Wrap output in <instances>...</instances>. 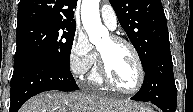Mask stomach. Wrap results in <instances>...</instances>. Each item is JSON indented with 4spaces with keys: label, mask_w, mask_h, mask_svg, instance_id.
I'll return each instance as SVG.
<instances>
[{
    "label": "stomach",
    "mask_w": 193,
    "mask_h": 112,
    "mask_svg": "<svg viewBox=\"0 0 193 112\" xmlns=\"http://www.w3.org/2000/svg\"><path fill=\"white\" fill-rule=\"evenodd\" d=\"M120 112H153V110L144 104L137 103L136 105L128 107Z\"/></svg>",
    "instance_id": "1"
}]
</instances>
